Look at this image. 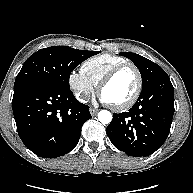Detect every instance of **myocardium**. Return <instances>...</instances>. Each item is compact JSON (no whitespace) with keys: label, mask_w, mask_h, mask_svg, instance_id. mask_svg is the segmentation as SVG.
<instances>
[{"label":"myocardium","mask_w":193,"mask_h":193,"mask_svg":"<svg viewBox=\"0 0 193 193\" xmlns=\"http://www.w3.org/2000/svg\"><path fill=\"white\" fill-rule=\"evenodd\" d=\"M127 68H131L135 71L136 76H137V86H136V89L133 95L124 103L119 104V105L109 104L110 107L115 111H124V110L131 108L137 102L138 98L140 97L142 88H143V77H142L140 69L134 63H131V62L120 64L114 67L112 70H110L101 79V81L98 84V92L101 94L103 88L108 83H110L118 73H120L122 70L127 69Z\"/></svg>","instance_id":"1"}]
</instances>
